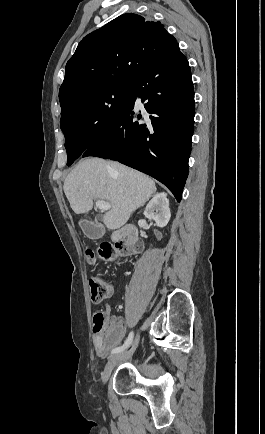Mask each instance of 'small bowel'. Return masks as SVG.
<instances>
[{"label": "small bowel", "mask_w": 265, "mask_h": 434, "mask_svg": "<svg viewBox=\"0 0 265 434\" xmlns=\"http://www.w3.org/2000/svg\"><path fill=\"white\" fill-rule=\"evenodd\" d=\"M110 311V307H107L104 312L106 315H109ZM124 334V319L120 316H109L101 344L96 342V355L99 357H104L110 350L114 349L121 343Z\"/></svg>", "instance_id": "1"}]
</instances>
